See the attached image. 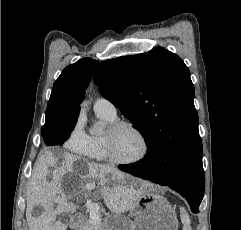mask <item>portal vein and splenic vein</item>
<instances>
[{"instance_id":"obj_1","label":"portal vein and splenic vein","mask_w":241,"mask_h":230,"mask_svg":"<svg viewBox=\"0 0 241 230\" xmlns=\"http://www.w3.org/2000/svg\"><path fill=\"white\" fill-rule=\"evenodd\" d=\"M87 208L89 209V217L92 223H99L101 221V215L99 213V206L95 203H88Z\"/></svg>"}]
</instances>
